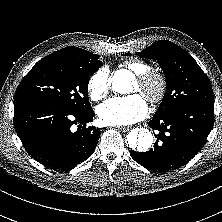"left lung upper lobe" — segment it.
Segmentation results:
<instances>
[{
  "instance_id": "left-lung-upper-lobe-1",
  "label": "left lung upper lobe",
  "mask_w": 222,
  "mask_h": 222,
  "mask_svg": "<svg viewBox=\"0 0 222 222\" xmlns=\"http://www.w3.org/2000/svg\"><path fill=\"white\" fill-rule=\"evenodd\" d=\"M137 54L157 60L166 77V93L154 116H161L190 104L214 105L209 79L184 49L173 42L161 40ZM124 55L129 56L130 53Z\"/></svg>"
}]
</instances>
